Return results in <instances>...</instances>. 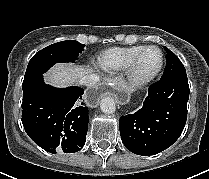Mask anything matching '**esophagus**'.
<instances>
[{"label": "esophagus", "mask_w": 209, "mask_h": 179, "mask_svg": "<svg viewBox=\"0 0 209 179\" xmlns=\"http://www.w3.org/2000/svg\"><path fill=\"white\" fill-rule=\"evenodd\" d=\"M108 95L115 98L119 105H124L130 98L129 93L115 83L103 82L86 92L85 103L88 106H95L102 97Z\"/></svg>", "instance_id": "obj_1"}]
</instances>
